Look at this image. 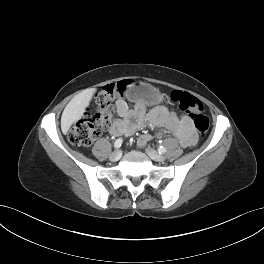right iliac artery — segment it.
I'll return each instance as SVG.
<instances>
[{
    "instance_id": "1",
    "label": "right iliac artery",
    "mask_w": 264,
    "mask_h": 264,
    "mask_svg": "<svg viewBox=\"0 0 264 264\" xmlns=\"http://www.w3.org/2000/svg\"><path fill=\"white\" fill-rule=\"evenodd\" d=\"M122 143H123V139H122V138H118V139L115 141V143H114V148H116V149L120 148L121 145H122Z\"/></svg>"
}]
</instances>
